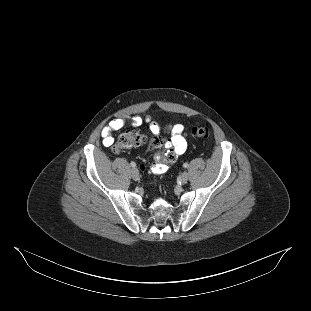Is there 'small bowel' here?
I'll list each match as a JSON object with an SVG mask.
<instances>
[{
  "label": "small bowel",
  "mask_w": 311,
  "mask_h": 311,
  "mask_svg": "<svg viewBox=\"0 0 311 311\" xmlns=\"http://www.w3.org/2000/svg\"><path fill=\"white\" fill-rule=\"evenodd\" d=\"M146 121L149 123V128L153 134H158L160 132V126L156 122L151 121L149 118L146 119ZM142 122L143 120L139 116H135L132 119L134 126H139L142 124ZM124 126L125 121L121 118L111 120L102 129L101 132L103 145L106 147L111 146L114 141L112 134L115 131L121 130ZM165 129L171 133V137L168 139V141L165 144L154 141L155 147H161L164 145L167 149L163 156L160 154H156L155 156L157 161L163 160V162H158L151 168L152 172L156 174L165 172L167 169L166 164L174 163L187 148V142L185 138L186 133L182 124L177 123L173 125H167Z\"/></svg>",
  "instance_id": "c3829d8e"
}]
</instances>
